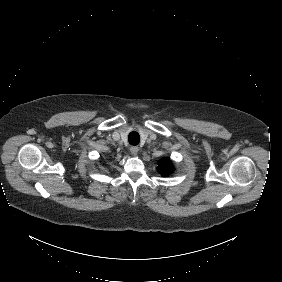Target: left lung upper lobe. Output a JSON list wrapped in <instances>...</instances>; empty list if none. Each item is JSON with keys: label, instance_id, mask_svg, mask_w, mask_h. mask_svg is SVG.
<instances>
[{"label": "left lung upper lobe", "instance_id": "5c2ea615", "mask_svg": "<svg viewBox=\"0 0 282 282\" xmlns=\"http://www.w3.org/2000/svg\"><path fill=\"white\" fill-rule=\"evenodd\" d=\"M158 164L157 170L163 177L169 176L174 172L173 164L168 158L161 159Z\"/></svg>", "mask_w": 282, "mask_h": 282}]
</instances>
